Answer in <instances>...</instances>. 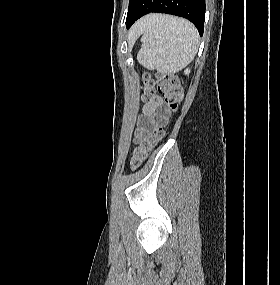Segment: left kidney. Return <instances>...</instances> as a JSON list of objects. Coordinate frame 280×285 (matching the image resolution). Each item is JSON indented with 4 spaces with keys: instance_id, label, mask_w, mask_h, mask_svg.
I'll return each mask as SVG.
<instances>
[{
    "instance_id": "1",
    "label": "left kidney",
    "mask_w": 280,
    "mask_h": 285,
    "mask_svg": "<svg viewBox=\"0 0 280 285\" xmlns=\"http://www.w3.org/2000/svg\"><path fill=\"white\" fill-rule=\"evenodd\" d=\"M184 73H185L186 75H188V74L190 73V70H189V69H186V70L184 71Z\"/></svg>"
}]
</instances>
